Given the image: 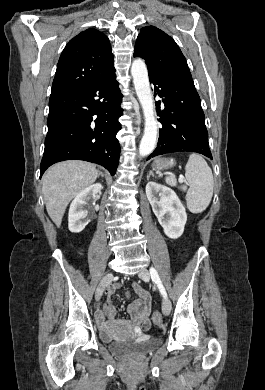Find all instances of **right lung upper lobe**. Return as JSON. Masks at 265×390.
Instances as JSON below:
<instances>
[{
	"mask_svg": "<svg viewBox=\"0 0 265 390\" xmlns=\"http://www.w3.org/2000/svg\"><path fill=\"white\" fill-rule=\"evenodd\" d=\"M113 68L109 39L96 29H87L72 38L62 51L51 95L86 84Z\"/></svg>",
	"mask_w": 265,
	"mask_h": 390,
	"instance_id": "cb5924a9",
	"label": "right lung upper lobe"
}]
</instances>
